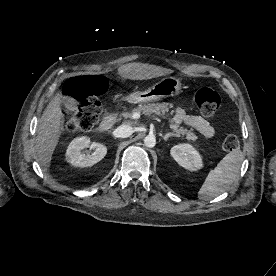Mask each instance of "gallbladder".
<instances>
[{
    "label": "gallbladder",
    "mask_w": 276,
    "mask_h": 276,
    "mask_svg": "<svg viewBox=\"0 0 276 276\" xmlns=\"http://www.w3.org/2000/svg\"><path fill=\"white\" fill-rule=\"evenodd\" d=\"M65 104L70 110H76L77 108V101L73 98L71 100H66Z\"/></svg>",
    "instance_id": "obj_1"
}]
</instances>
